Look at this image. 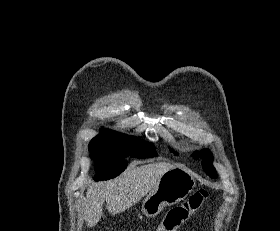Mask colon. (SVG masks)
I'll return each mask as SVG.
<instances>
[{
    "instance_id": "obj_1",
    "label": "colon",
    "mask_w": 280,
    "mask_h": 231,
    "mask_svg": "<svg viewBox=\"0 0 280 231\" xmlns=\"http://www.w3.org/2000/svg\"><path fill=\"white\" fill-rule=\"evenodd\" d=\"M208 197V192L199 190L193 193L184 203L177 208H171L172 215H168V220L162 221V228L160 231H176L180 230V225H188V220H195V215L192 213H199V208ZM173 220V221H172ZM173 224V225H172Z\"/></svg>"
}]
</instances>
